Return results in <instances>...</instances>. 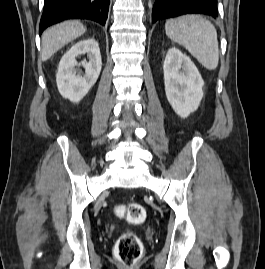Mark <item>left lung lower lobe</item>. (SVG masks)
Here are the masks:
<instances>
[{
  "instance_id": "0a47b994",
  "label": "left lung lower lobe",
  "mask_w": 265,
  "mask_h": 269,
  "mask_svg": "<svg viewBox=\"0 0 265 269\" xmlns=\"http://www.w3.org/2000/svg\"><path fill=\"white\" fill-rule=\"evenodd\" d=\"M199 13L218 16L217 0H155L152 22L183 14Z\"/></svg>"
}]
</instances>
